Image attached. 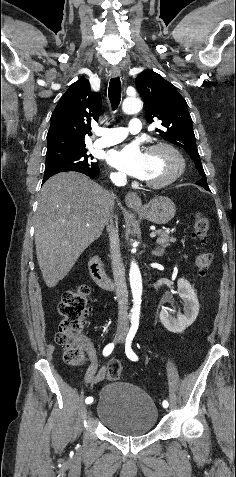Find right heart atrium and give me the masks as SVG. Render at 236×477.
Listing matches in <instances>:
<instances>
[{
	"instance_id": "d8ad5b80",
	"label": "right heart atrium",
	"mask_w": 236,
	"mask_h": 477,
	"mask_svg": "<svg viewBox=\"0 0 236 477\" xmlns=\"http://www.w3.org/2000/svg\"><path fill=\"white\" fill-rule=\"evenodd\" d=\"M111 176H112V178H113L114 180H120V179L123 178V175H122L121 173H119V172H113V173L111 174Z\"/></svg>"
}]
</instances>
